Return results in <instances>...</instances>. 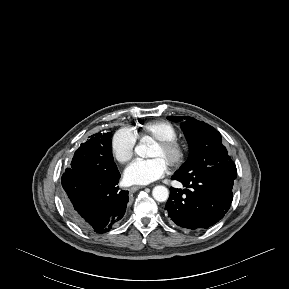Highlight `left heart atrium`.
<instances>
[{
  "mask_svg": "<svg viewBox=\"0 0 289 289\" xmlns=\"http://www.w3.org/2000/svg\"><path fill=\"white\" fill-rule=\"evenodd\" d=\"M167 166L157 158L138 160L131 163L125 170L124 179L128 184H149L161 178Z\"/></svg>",
  "mask_w": 289,
  "mask_h": 289,
  "instance_id": "left-heart-atrium-1",
  "label": "left heart atrium"
}]
</instances>
